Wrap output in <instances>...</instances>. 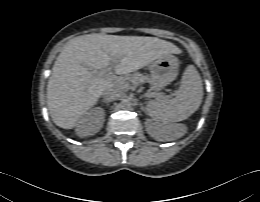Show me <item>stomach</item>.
<instances>
[{
    "mask_svg": "<svg viewBox=\"0 0 260 202\" xmlns=\"http://www.w3.org/2000/svg\"><path fill=\"white\" fill-rule=\"evenodd\" d=\"M150 73V90L158 92L175 79L178 73V63L173 56L163 55L150 65Z\"/></svg>",
    "mask_w": 260,
    "mask_h": 202,
    "instance_id": "1",
    "label": "stomach"
}]
</instances>
